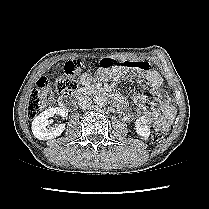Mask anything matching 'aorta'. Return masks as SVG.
<instances>
[{
	"mask_svg": "<svg viewBox=\"0 0 209 209\" xmlns=\"http://www.w3.org/2000/svg\"><path fill=\"white\" fill-rule=\"evenodd\" d=\"M94 102L99 107H104L107 104V99L104 96H96Z\"/></svg>",
	"mask_w": 209,
	"mask_h": 209,
	"instance_id": "aorta-1",
	"label": "aorta"
}]
</instances>
